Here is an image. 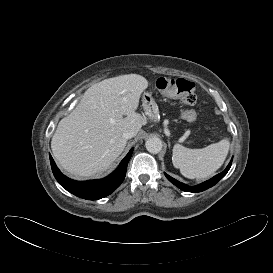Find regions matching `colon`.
<instances>
[{
	"mask_svg": "<svg viewBox=\"0 0 273 273\" xmlns=\"http://www.w3.org/2000/svg\"><path fill=\"white\" fill-rule=\"evenodd\" d=\"M157 87L165 95L177 98L186 105L192 106L196 103L195 85L189 80L183 78H160L157 81ZM181 116L188 122H193L197 119V113L191 109L184 110Z\"/></svg>",
	"mask_w": 273,
	"mask_h": 273,
	"instance_id": "obj_1",
	"label": "colon"
}]
</instances>
